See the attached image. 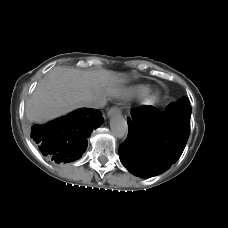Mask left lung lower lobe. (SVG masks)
<instances>
[{
    "label": "left lung lower lobe",
    "mask_w": 228,
    "mask_h": 228,
    "mask_svg": "<svg viewBox=\"0 0 228 228\" xmlns=\"http://www.w3.org/2000/svg\"><path fill=\"white\" fill-rule=\"evenodd\" d=\"M191 106L172 103L161 113L153 106L132 112L129 134L119 146L122 164L140 177L158 175L181 156L190 134Z\"/></svg>",
    "instance_id": "0a47b994"
}]
</instances>
